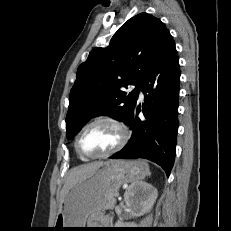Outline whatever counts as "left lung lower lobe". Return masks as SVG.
<instances>
[{
  "instance_id": "obj_1",
  "label": "left lung lower lobe",
  "mask_w": 231,
  "mask_h": 231,
  "mask_svg": "<svg viewBox=\"0 0 231 231\" xmlns=\"http://www.w3.org/2000/svg\"><path fill=\"white\" fill-rule=\"evenodd\" d=\"M179 84L178 53L168 33L157 56L141 78L140 90L145 95L142 109L146 120L138 118L140 106H135L127 121L132 136L126 146L110 158H145L159 164L167 176L170 175L178 131Z\"/></svg>"
}]
</instances>
